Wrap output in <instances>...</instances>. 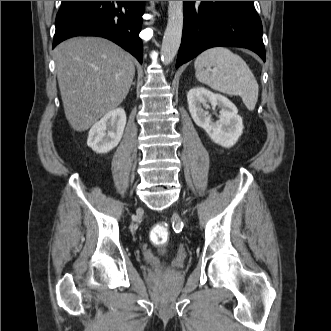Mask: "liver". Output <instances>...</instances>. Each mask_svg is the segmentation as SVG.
Here are the masks:
<instances>
[{
    "label": "liver",
    "instance_id": "obj_1",
    "mask_svg": "<svg viewBox=\"0 0 331 331\" xmlns=\"http://www.w3.org/2000/svg\"><path fill=\"white\" fill-rule=\"evenodd\" d=\"M66 119L86 131L126 98L135 67L130 54L109 40L74 37L54 50Z\"/></svg>",
    "mask_w": 331,
    "mask_h": 331
}]
</instances>
